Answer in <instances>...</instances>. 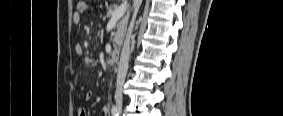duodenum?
Listing matches in <instances>:
<instances>
[{
  "label": "duodenum",
  "mask_w": 283,
  "mask_h": 116,
  "mask_svg": "<svg viewBox=\"0 0 283 116\" xmlns=\"http://www.w3.org/2000/svg\"><path fill=\"white\" fill-rule=\"evenodd\" d=\"M119 59H120V51L117 50V49L113 50L112 53H111V60H112V62L115 65H117L118 62H119Z\"/></svg>",
  "instance_id": "duodenum-1"
}]
</instances>
